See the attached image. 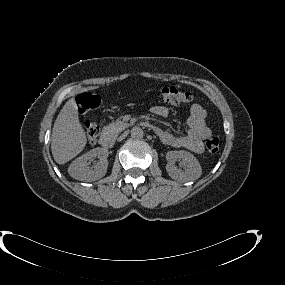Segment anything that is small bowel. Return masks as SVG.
Instances as JSON below:
<instances>
[{
	"mask_svg": "<svg viewBox=\"0 0 285 285\" xmlns=\"http://www.w3.org/2000/svg\"><path fill=\"white\" fill-rule=\"evenodd\" d=\"M151 113L167 117L168 108L164 106H154L150 109ZM206 110L199 104H194L190 108V114L185 122L186 133L184 135H174L158 127H154L160 139L167 145L177 148H186L195 153L204 151V141L212 135V131L206 125Z\"/></svg>",
	"mask_w": 285,
	"mask_h": 285,
	"instance_id": "small-bowel-1",
	"label": "small bowel"
}]
</instances>
